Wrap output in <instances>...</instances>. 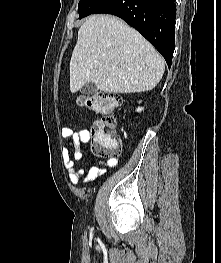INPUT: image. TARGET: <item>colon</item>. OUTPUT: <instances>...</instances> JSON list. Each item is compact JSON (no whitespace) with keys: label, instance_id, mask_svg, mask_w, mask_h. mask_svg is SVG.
Listing matches in <instances>:
<instances>
[{"label":"colon","instance_id":"1","mask_svg":"<svg viewBox=\"0 0 221 263\" xmlns=\"http://www.w3.org/2000/svg\"><path fill=\"white\" fill-rule=\"evenodd\" d=\"M77 103L82 108L103 115L90 129L93 152L102 158H117L121 153V146L116 135L114 112L122 104L121 97L113 93L79 95Z\"/></svg>","mask_w":221,"mask_h":263}]
</instances>
